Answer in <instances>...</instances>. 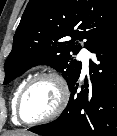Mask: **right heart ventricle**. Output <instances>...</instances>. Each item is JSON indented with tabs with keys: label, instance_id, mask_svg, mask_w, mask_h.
I'll use <instances>...</instances> for the list:
<instances>
[{
	"label": "right heart ventricle",
	"instance_id": "right-heart-ventricle-1",
	"mask_svg": "<svg viewBox=\"0 0 117 136\" xmlns=\"http://www.w3.org/2000/svg\"><path fill=\"white\" fill-rule=\"evenodd\" d=\"M30 77H27L25 79H23L15 88L14 92H13V96H12V100H11V107H12V120L14 123L18 124L19 121L17 120L16 116H15V106H16V102H17V98L18 95L21 91V89L23 88V86L27 83V81L29 80Z\"/></svg>",
	"mask_w": 117,
	"mask_h": 136
}]
</instances>
